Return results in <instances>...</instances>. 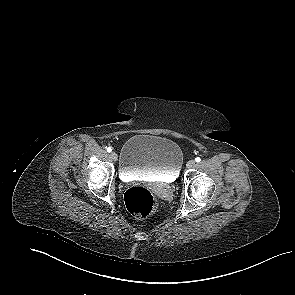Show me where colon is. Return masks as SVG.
Masks as SVG:
<instances>
[{
    "label": "colon",
    "instance_id": "5ec220e1",
    "mask_svg": "<svg viewBox=\"0 0 295 295\" xmlns=\"http://www.w3.org/2000/svg\"><path fill=\"white\" fill-rule=\"evenodd\" d=\"M128 211L138 219H144L158 209V198L155 194L143 187H131L124 195Z\"/></svg>",
    "mask_w": 295,
    "mask_h": 295
}]
</instances>
